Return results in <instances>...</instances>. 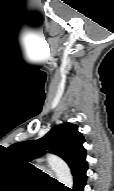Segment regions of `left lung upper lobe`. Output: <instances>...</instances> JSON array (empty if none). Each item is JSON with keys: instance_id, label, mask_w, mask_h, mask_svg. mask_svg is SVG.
Masks as SVG:
<instances>
[{"instance_id": "obj_1", "label": "left lung upper lobe", "mask_w": 114, "mask_h": 191, "mask_svg": "<svg viewBox=\"0 0 114 191\" xmlns=\"http://www.w3.org/2000/svg\"><path fill=\"white\" fill-rule=\"evenodd\" d=\"M85 139L72 123L54 126L44 137L38 140L18 142L8 149L19 160L28 164L32 159L45 154L48 149L60 156L71 168L72 173L86 160L83 147Z\"/></svg>"}]
</instances>
